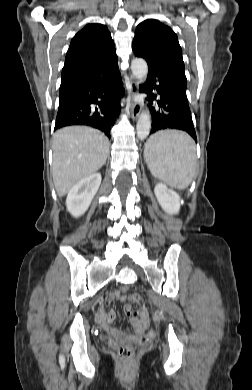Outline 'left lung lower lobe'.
<instances>
[{"label":"left lung lower lobe","mask_w":252,"mask_h":390,"mask_svg":"<svg viewBox=\"0 0 252 390\" xmlns=\"http://www.w3.org/2000/svg\"><path fill=\"white\" fill-rule=\"evenodd\" d=\"M187 85L174 76L149 69L147 82L140 88L148 94L147 100L152 104L156 101L158 107H149L152 113L153 134L162 129H179L188 132L197 141L191 112L186 95ZM156 90L158 95L152 94Z\"/></svg>","instance_id":"0a47b994"}]
</instances>
